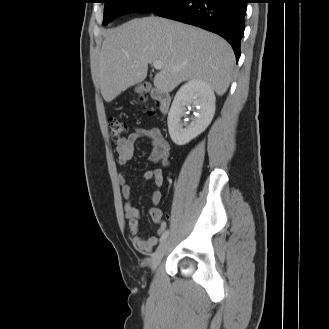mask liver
Instances as JSON below:
<instances>
[{
	"label": "liver",
	"mask_w": 329,
	"mask_h": 329,
	"mask_svg": "<svg viewBox=\"0 0 329 329\" xmlns=\"http://www.w3.org/2000/svg\"><path fill=\"white\" fill-rule=\"evenodd\" d=\"M154 61L163 63L154 78L157 89L170 92L198 79L221 96L230 85L235 56L227 41L203 29L154 16L133 19L105 34L99 61L104 100L144 81Z\"/></svg>",
	"instance_id": "6515ba94"
}]
</instances>
